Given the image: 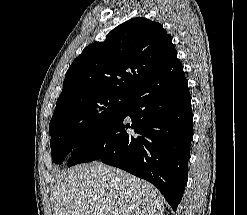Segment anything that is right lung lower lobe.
I'll return each instance as SVG.
<instances>
[{
	"label": "right lung lower lobe",
	"instance_id": "1",
	"mask_svg": "<svg viewBox=\"0 0 247 215\" xmlns=\"http://www.w3.org/2000/svg\"><path fill=\"white\" fill-rule=\"evenodd\" d=\"M193 115L176 50L129 96L124 112L80 142L68 166L101 160L153 183L174 211L188 178Z\"/></svg>",
	"mask_w": 247,
	"mask_h": 215
}]
</instances>
